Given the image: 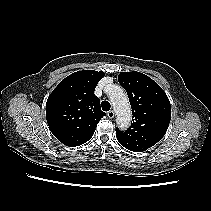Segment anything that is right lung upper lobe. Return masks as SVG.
<instances>
[{
	"label": "right lung upper lobe",
	"instance_id": "cb5924a9",
	"mask_svg": "<svg viewBox=\"0 0 211 211\" xmlns=\"http://www.w3.org/2000/svg\"><path fill=\"white\" fill-rule=\"evenodd\" d=\"M104 75L102 71H77L63 79L48 97L47 123L64 145L75 147L90 140L98 122L106 115L94 95Z\"/></svg>",
	"mask_w": 211,
	"mask_h": 211
}]
</instances>
